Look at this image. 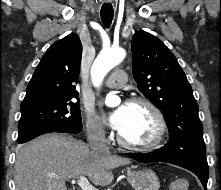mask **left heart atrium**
<instances>
[{"instance_id": "obj_1", "label": "left heart atrium", "mask_w": 221, "mask_h": 190, "mask_svg": "<svg viewBox=\"0 0 221 190\" xmlns=\"http://www.w3.org/2000/svg\"><path fill=\"white\" fill-rule=\"evenodd\" d=\"M128 116V104H122L117 109L106 113V123L114 130L121 131L127 121Z\"/></svg>"}]
</instances>
